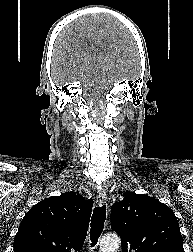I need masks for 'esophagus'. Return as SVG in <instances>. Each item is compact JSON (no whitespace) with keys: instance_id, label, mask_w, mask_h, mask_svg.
I'll return each mask as SVG.
<instances>
[{"instance_id":"obj_1","label":"esophagus","mask_w":193,"mask_h":252,"mask_svg":"<svg viewBox=\"0 0 193 252\" xmlns=\"http://www.w3.org/2000/svg\"><path fill=\"white\" fill-rule=\"evenodd\" d=\"M96 201L99 206H103L107 202V195L105 189L101 188L98 190Z\"/></svg>"}]
</instances>
